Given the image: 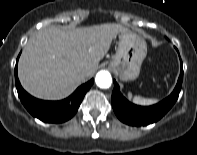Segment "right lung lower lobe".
Returning a JSON list of instances; mask_svg holds the SVG:
<instances>
[{"instance_id": "98d812e1", "label": "right lung lower lobe", "mask_w": 197, "mask_h": 155, "mask_svg": "<svg viewBox=\"0 0 197 155\" xmlns=\"http://www.w3.org/2000/svg\"><path fill=\"white\" fill-rule=\"evenodd\" d=\"M17 62L15 67V83L18 96L25 108L30 112V114L46 123H62L72 118L77 112L78 107L80 106L85 94L94 82V80L91 79L87 83L77 88L72 95H70L68 98L64 100H39L29 95L22 88L17 76Z\"/></svg>"}]
</instances>
